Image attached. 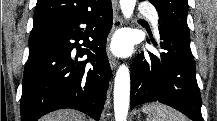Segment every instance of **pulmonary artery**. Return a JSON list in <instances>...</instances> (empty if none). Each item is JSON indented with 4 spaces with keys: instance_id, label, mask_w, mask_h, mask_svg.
I'll return each instance as SVG.
<instances>
[{
    "instance_id": "e3ab8cb5",
    "label": "pulmonary artery",
    "mask_w": 217,
    "mask_h": 121,
    "mask_svg": "<svg viewBox=\"0 0 217 121\" xmlns=\"http://www.w3.org/2000/svg\"><path fill=\"white\" fill-rule=\"evenodd\" d=\"M140 12L150 19V21H151L152 25L154 26L156 32L158 33L159 17L157 15V13L150 6H147V5L141 6L140 7Z\"/></svg>"
}]
</instances>
